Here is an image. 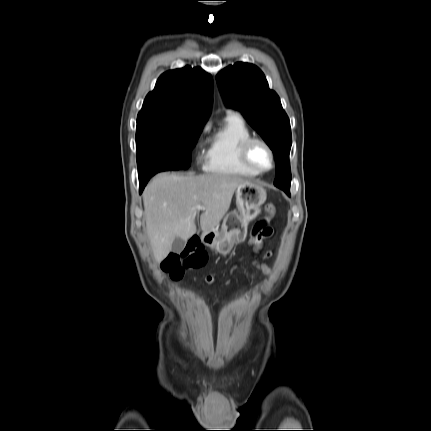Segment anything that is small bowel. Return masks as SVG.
Returning <instances> with one entry per match:
<instances>
[{"label":"small bowel","mask_w":431,"mask_h":431,"mask_svg":"<svg viewBox=\"0 0 431 431\" xmlns=\"http://www.w3.org/2000/svg\"><path fill=\"white\" fill-rule=\"evenodd\" d=\"M270 234H271V228H270V231L266 235H264L263 237L257 238V240L254 243H251L249 241V244L258 247V246H260V244L263 241V239H265L266 237H268ZM254 264H255V266L257 268H259L260 270H262L264 273H267V274L270 273V268L265 263L256 261ZM234 269L235 268H233V270ZM208 281L211 282L212 278L209 277Z\"/></svg>","instance_id":"c3829d8e"}]
</instances>
